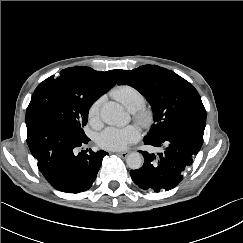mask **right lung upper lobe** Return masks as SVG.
<instances>
[{
  "label": "right lung upper lobe",
  "instance_id": "cb5924a9",
  "mask_svg": "<svg viewBox=\"0 0 243 243\" xmlns=\"http://www.w3.org/2000/svg\"><path fill=\"white\" fill-rule=\"evenodd\" d=\"M121 73V69L102 72L75 66L62 70L60 77L75 94L95 101L115 85Z\"/></svg>",
  "mask_w": 243,
  "mask_h": 243
}]
</instances>
